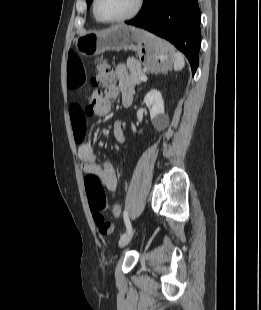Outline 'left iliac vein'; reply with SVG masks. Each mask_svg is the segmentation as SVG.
Instances as JSON below:
<instances>
[{
	"label": "left iliac vein",
	"mask_w": 261,
	"mask_h": 310,
	"mask_svg": "<svg viewBox=\"0 0 261 310\" xmlns=\"http://www.w3.org/2000/svg\"><path fill=\"white\" fill-rule=\"evenodd\" d=\"M135 229L131 228L130 231H127L121 238L119 241V246L120 247H125L130 240L132 239L133 235H134Z\"/></svg>",
	"instance_id": "1"
}]
</instances>
